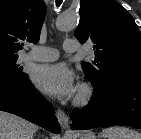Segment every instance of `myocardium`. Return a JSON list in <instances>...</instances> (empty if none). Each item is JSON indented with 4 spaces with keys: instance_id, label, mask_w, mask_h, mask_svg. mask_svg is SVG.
<instances>
[{
    "instance_id": "myocardium-1",
    "label": "myocardium",
    "mask_w": 141,
    "mask_h": 139,
    "mask_svg": "<svg viewBox=\"0 0 141 139\" xmlns=\"http://www.w3.org/2000/svg\"><path fill=\"white\" fill-rule=\"evenodd\" d=\"M94 94L92 86L86 83L79 85L77 93L74 99V104L78 106H84L90 102Z\"/></svg>"
}]
</instances>
